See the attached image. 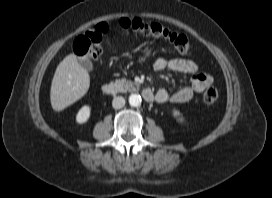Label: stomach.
<instances>
[{
  "instance_id": "obj_1",
  "label": "stomach",
  "mask_w": 272,
  "mask_h": 198,
  "mask_svg": "<svg viewBox=\"0 0 272 198\" xmlns=\"http://www.w3.org/2000/svg\"><path fill=\"white\" fill-rule=\"evenodd\" d=\"M150 53H151V50H150V49H146V50L144 51V54H145L146 56H149Z\"/></svg>"
}]
</instances>
